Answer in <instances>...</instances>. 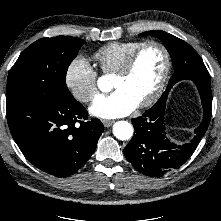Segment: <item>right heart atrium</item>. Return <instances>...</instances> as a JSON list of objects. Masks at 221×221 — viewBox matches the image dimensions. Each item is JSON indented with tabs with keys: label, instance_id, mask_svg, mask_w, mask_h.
<instances>
[{
	"label": "right heart atrium",
	"instance_id": "1",
	"mask_svg": "<svg viewBox=\"0 0 221 221\" xmlns=\"http://www.w3.org/2000/svg\"><path fill=\"white\" fill-rule=\"evenodd\" d=\"M97 71L84 56L76 57L66 71V85L81 102L91 101L98 92Z\"/></svg>",
	"mask_w": 221,
	"mask_h": 221
}]
</instances>
